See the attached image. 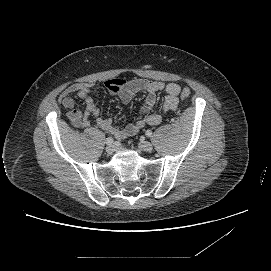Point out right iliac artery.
Instances as JSON below:
<instances>
[{
    "label": "right iliac artery",
    "mask_w": 271,
    "mask_h": 271,
    "mask_svg": "<svg viewBox=\"0 0 271 271\" xmlns=\"http://www.w3.org/2000/svg\"><path fill=\"white\" fill-rule=\"evenodd\" d=\"M113 142H114V139H113L112 137H108V138L106 139V144H107V145H111Z\"/></svg>",
    "instance_id": "right-iliac-artery-1"
}]
</instances>
